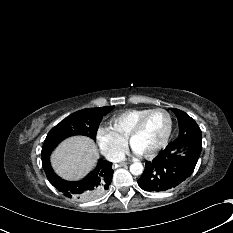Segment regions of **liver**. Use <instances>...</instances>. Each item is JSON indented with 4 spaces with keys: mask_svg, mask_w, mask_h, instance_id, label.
Wrapping results in <instances>:
<instances>
[{
    "mask_svg": "<svg viewBox=\"0 0 233 233\" xmlns=\"http://www.w3.org/2000/svg\"><path fill=\"white\" fill-rule=\"evenodd\" d=\"M99 157L94 142L84 136L63 141L53 152L51 163L58 175L67 180H79L86 176Z\"/></svg>",
    "mask_w": 233,
    "mask_h": 233,
    "instance_id": "liver-1",
    "label": "liver"
}]
</instances>
